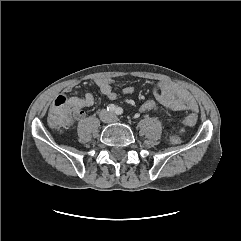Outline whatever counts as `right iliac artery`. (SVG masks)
<instances>
[{
  "label": "right iliac artery",
  "mask_w": 241,
  "mask_h": 241,
  "mask_svg": "<svg viewBox=\"0 0 241 241\" xmlns=\"http://www.w3.org/2000/svg\"><path fill=\"white\" fill-rule=\"evenodd\" d=\"M115 109H116V107H115L114 104H109V105L107 106V110H108L109 112H113Z\"/></svg>",
  "instance_id": "1"
}]
</instances>
